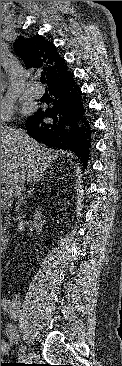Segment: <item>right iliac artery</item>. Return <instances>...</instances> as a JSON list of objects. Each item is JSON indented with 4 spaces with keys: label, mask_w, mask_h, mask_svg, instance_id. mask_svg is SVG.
<instances>
[{
    "label": "right iliac artery",
    "mask_w": 122,
    "mask_h": 366,
    "mask_svg": "<svg viewBox=\"0 0 122 366\" xmlns=\"http://www.w3.org/2000/svg\"><path fill=\"white\" fill-rule=\"evenodd\" d=\"M1 306H2V308L5 312L9 313L11 311V302H10V300L3 299L2 302H1ZM6 332H7L8 337L10 338V341L14 342V340H16V334H15V330H14L11 323H9L7 325ZM19 355L24 357V355H25L24 351L21 350L19 352Z\"/></svg>",
    "instance_id": "1"
}]
</instances>
